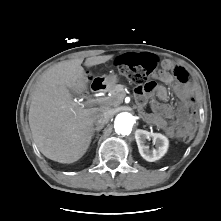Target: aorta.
I'll return each instance as SVG.
<instances>
[{"label":"aorta","instance_id":"1","mask_svg":"<svg viewBox=\"0 0 221 221\" xmlns=\"http://www.w3.org/2000/svg\"><path fill=\"white\" fill-rule=\"evenodd\" d=\"M135 123V117L128 112L119 113L114 121L115 131L122 135L130 134Z\"/></svg>","mask_w":221,"mask_h":221}]
</instances>
